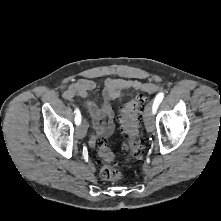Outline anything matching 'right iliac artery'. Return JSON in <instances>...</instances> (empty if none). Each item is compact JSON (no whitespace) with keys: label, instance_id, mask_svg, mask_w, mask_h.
<instances>
[{"label":"right iliac artery","instance_id":"right-iliac-artery-1","mask_svg":"<svg viewBox=\"0 0 221 221\" xmlns=\"http://www.w3.org/2000/svg\"><path fill=\"white\" fill-rule=\"evenodd\" d=\"M74 113H75V123L77 125H79L81 123V113H80V110L78 108H75Z\"/></svg>","mask_w":221,"mask_h":221}]
</instances>
